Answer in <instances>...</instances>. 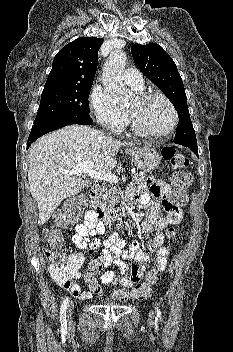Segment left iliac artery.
Instances as JSON below:
<instances>
[{
	"label": "left iliac artery",
	"instance_id": "left-iliac-artery-1",
	"mask_svg": "<svg viewBox=\"0 0 233 352\" xmlns=\"http://www.w3.org/2000/svg\"><path fill=\"white\" fill-rule=\"evenodd\" d=\"M161 319V311L158 305H156V320Z\"/></svg>",
	"mask_w": 233,
	"mask_h": 352
}]
</instances>
